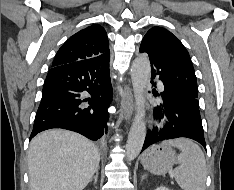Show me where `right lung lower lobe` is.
Listing matches in <instances>:
<instances>
[{
    "instance_id": "obj_1",
    "label": "right lung lower lobe",
    "mask_w": 234,
    "mask_h": 190,
    "mask_svg": "<svg viewBox=\"0 0 234 190\" xmlns=\"http://www.w3.org/2000/svg\"><path fill=\"white\" fill-rule=\"evenodd\" d=\"M85 91L90 97L84 98ZM111 101L109 59L95 57L53 67L44 83L30 139L41 131L63 128L96 141L107 133Z\"/></svg>"
}]
</instances>
